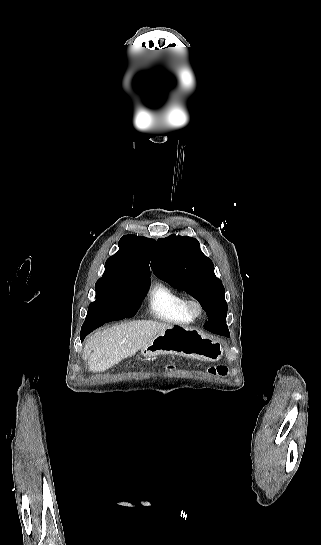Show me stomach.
Returning <instances> with one entry per match:
<instances>
[{
  "mask_svg": "<svg viewBox=\"0 0 321 545\" xmlns=\"http://www.w3.org/2000/svg\"><path fill=\"white\" fill-rule=\"evenodd\" d=\"M223 347L218 339H209L197 329L174 325L156 335L141 349V355L154 359L157 355H180L201 361H219L223 357Z\"/></svg>",
  "mask_w": 321,
  "mask_h": 545,
  "instance_id": "stomach-1",
  "label": "stomach"
}]
</instances>
